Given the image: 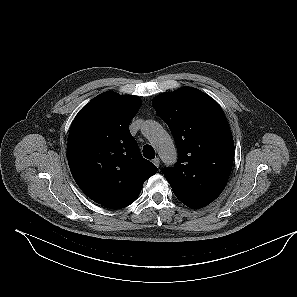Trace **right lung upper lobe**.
<instances>
[{
    "instance_id": "obj_1",
    "label": "right lung upper lobe",
    "mask_w": 297,
    "mask_h": 297,
    "mask_svg": "<svg viewBox=\"0 0 297 297\" xmlns=\"http://www.w3.org/2000/svg\"><path fill=\"white\" fill-rule=\"evenodd\" d=\"M140 105L137 96L104 92L71 125L67 158L72 176L90 199L107 208L129 206L157 172L129 131Z\"/></svg>"
}]
</instances>
